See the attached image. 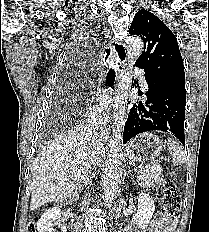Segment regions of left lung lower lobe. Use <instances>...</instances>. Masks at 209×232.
Segmentation results:
<instances>
[{"instance_id":"0a47b994","label":"left lung lower lobe","mask_w":209,"mask_h":232,"mask_svg":"<svg viewBox=\"0 0 209 232\" xmlns=\"http://www.w3.org/2000/svg\"><path fill=\"white\" fill-rule=\"evenodd\" d=\"M145 78L149 87L147 100L131 105L124 126L123 143L137 134L159 130L174 135L185 146L186 92L174 86L157 85L147 75Z\"/></svg>"}]
</instances>
